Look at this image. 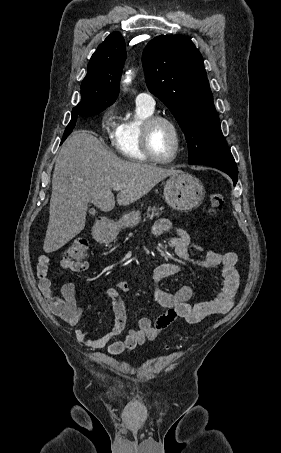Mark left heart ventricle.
<instances>
[{
  "label": "left heart ventricle",
  "instance_id": "b2bd125f",
  "mask_svg": "<svg viewBox=\"0 0 281 453\" xmlns=\"http://www.w3.org/2000/svg\"><path fill=\"white\" fill-rule=\"evenodd\" d=\"M174 136L171 130L164 124L159 125L153 135V148L156 155L166 159L173 152Z\"/></svg>",
  "mask_w": 281,
  "mask_h": 453
}]
</instances>
